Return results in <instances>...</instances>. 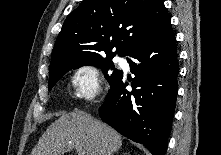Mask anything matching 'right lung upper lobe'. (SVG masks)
<instances>
[{
  "instance_id": "cb5924a9",
  "label": "right lung upper lobe",
  "mask_w": 221,
  "mask_h": 155,
  "mask_svg": "<svg viewBox=\"0 0 221 155\" xmlns=\"http://www.w3.org/2000/svg\"><path fill=\"white\" fill-rule=\"evenodd\" d=\"M168 24L170 18L161 0H84L61 28L50 72L103 59V55H128L144 36Z\"/></svg>"
}]
</instances>
